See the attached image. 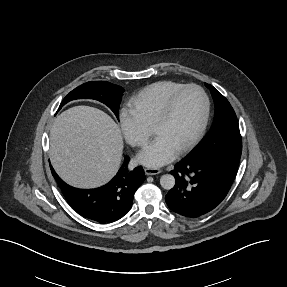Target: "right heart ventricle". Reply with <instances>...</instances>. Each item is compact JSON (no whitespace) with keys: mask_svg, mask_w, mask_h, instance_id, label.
<instances>
[{"mask_svg":"<svg viewBox=\"0 0 287 287\" xmlns=\"http://www.w3.org/2000/svg\"><path fill=\"white\" fill-rule=\"evenodd\" d=\"M181 86L183 84L170 80L153 83L132 97L128 106L148 127H152L168 96Z\"/></svg>","mask_w":287,"mask_h":287,"instance_id":"obj_1","label":"right heart ventricle"}]
</instances>
